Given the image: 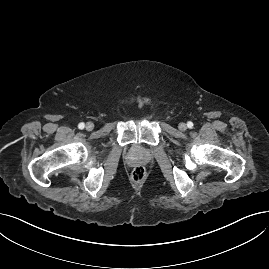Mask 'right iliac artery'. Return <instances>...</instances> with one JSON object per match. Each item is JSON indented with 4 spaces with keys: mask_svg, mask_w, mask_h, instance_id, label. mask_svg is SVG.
<instances>
[{
    "mask_svg": "<svg viewBox=\"0 0 269 269\" xmlns=\"http://www.w3.org/2000/svg\"><path fill=\"white\" fill-rule=\"evenodd\" d=\"M84 127H85V124L83 122L79 123V125H78L79 129H84Z\"/></svg>",
    "mask_w": 269,
    "mask_h": 269,
    "instance_id": "right-iliac-artery-1",
    "label": "right iliac artery"
}]
</instances>
